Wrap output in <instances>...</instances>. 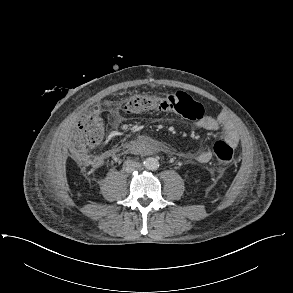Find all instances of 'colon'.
<instances>
[{"label":"colon","mask_w":293,"mask_h":293,"mask_svg":"<svg viewBox=\"0 0 293 293\" xmlns=\"http://www.w3.org/2000/svg\"><path fill=\"white\" fill-rule=\"evenodd\" d=\"M201 104L195 102L188 94L176 92L163 98H153L147 95H131L122 107L123 115H138L146 112H173L187 119H199L204 113ZM104 126L98 115H90L81 121L77 127L73 152L80 158L103 138ZM214 154L224 166H230L234 160L233 147L224 140L214 144Z\"/></svg>","instance_id":"1"}]
</instances>
